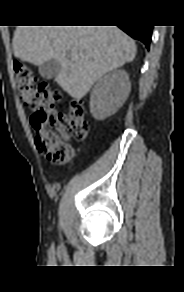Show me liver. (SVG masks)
<instances>
[{
  "label": "liver",
  "instance_id": "6515ba94",
  "mask_svg": "<svg viewBox=\"0 0 184 292\" xmlns=\"http://www.w3.org/2000/svg\"><path fill=\"white\" fill-rule=\"evenodd\" d=\"M13 52L37 66L56 60V82L79 100L104 74L132 62L136 45L116 26H18Z\"/></svg>",
  "mask_w": 184,
  "mask_h": 292
}]
</instances>
